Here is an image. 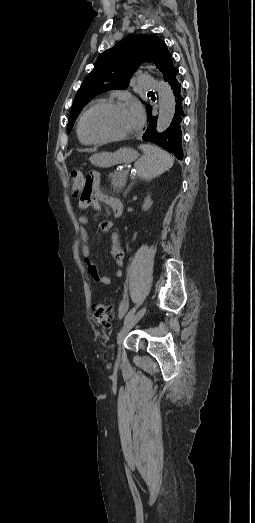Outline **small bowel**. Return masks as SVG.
<instances>
[{
    "mask_svg": "<svg viewBox=\"0 0 255 523\" xmlns=\"http://www.w3.org/2000/svg\"><path fill=\"white\" fill-rule=\"evenodd\" d=\"M90 181H94V177L90 176ZM109 197H99L93 193L92 185L90 188V192L86 197H82L78 200L77 206L79 209L84 210L89 206H93L94 208H97L99 206V201L103 200L108 203ZM79 235H80V250L81 255L84 257V259L87 262V272L90 276V278L97 284L101 285H109L111 283V279L108 276L102 275L99 273L96 265L90 261V248H89V235L87 232L86 225L88 223V218L85 215H81L79 217ZM113 227V223L109 220H103L99 224V228L103 232H109ZM111 254L115 260V264L118 267L116 270V276L121 277L123 275L122 266L124 263V250L122 246L119 243L118 237L116 235H112V246H111Z\"/></svg>",
    "mask_w": 255,
    "mask_h": 523,
    "instance_id": "c3829d8e",
    "label": "small bowel"
}]
</instances>
